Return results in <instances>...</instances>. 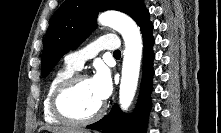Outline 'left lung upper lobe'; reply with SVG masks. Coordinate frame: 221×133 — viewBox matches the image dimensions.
Instances as JSON below:
<instances>
[{
	"mask_svg": "<svg viewBox=\"0 0 221 133\" xmlns=\"http://www.w3.org/2000/svg\"><path fill=\"white\" fill-rule=\"evenodd\" d=\"M110 9L126 13L140 29L150 22L143 0H66L55 12L46 33L42 75L46 77L65 53L87 38L96 27L99 12Z\"/></svg>",
	"mask_w": 221,
	"mask_h": 133,
	"instance_id": "left-lung-upper-lobe-1",
	"label": "left lung upper lobe"
}]
</instances>
